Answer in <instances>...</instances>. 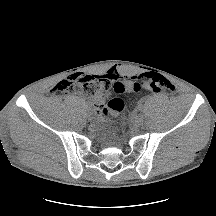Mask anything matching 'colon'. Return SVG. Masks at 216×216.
I'll list each match as a JSON object with an SVG mask.
<instances>
[{
  "mask_svg": "<svg viewBox=\"0 0 216 216\" xmlns=\"http://www.w3.org/2000/svg\"><path fill=\"white\" fill-rule=\"evenodd\" d=\"M111 89L117 95L140 89L165 94H172L175 90L170 81L157 74H149L133 80H117L113 84L105 75L75 74L60 81L55 86V90L58 92L74 93L84 97H94L97 94H101L108 98ZM123 109L124 101L117 96L107 101L102 107V112L107 119H113Z\"/></svg>",
  "mask_w": 216,
  "mask_h": 216,
  "instance_id": "colon-1",
  "label": "colon"
}]
</instances>
